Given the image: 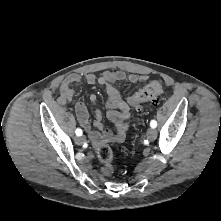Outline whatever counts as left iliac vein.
Here are the masks:
<instances>
[{
    "label": "left iliac vein",
    "instance_id": "4c4485c4",
    "mask_svg": "<svg viewBox=\"0 0 221 221\" xmlns=\"http://www.w3.org/2000/svg\"><path fill=\"white\" fill-rule=\"evenodd\" d=\"M146 136L148 140L153 141L157 137V131L154 128H150L147 130Z\"/></svg>",
    "mask_w": 221,
    "mask_h": 221
}]
</instances>
